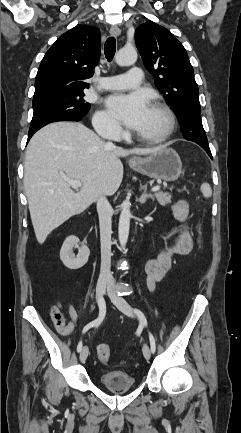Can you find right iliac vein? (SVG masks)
I'll use <instances>...</instances> for the list:
<instances>
[{
    "label": "right iliac vein",
    "instance_id": "1",
    "mask_svg": "<svg viewBox=\"0 0 241 433\" xmlns=\"http://www.w3.org/2000/svg\"><path fill=\"white\" fill-rule=\"evenodd\" d=\"M107 286H108V283L106 281H99L97 283V286H96V299H97L98 302L102 298V296H103V294H104ZM88 353H89V349H88L87 346H85L81 350V352H80V361L81 362H85V360L88 357Z\"/></svg>",
    "mask_w": 241,
    "mask_h": 433
}]
</instances>
